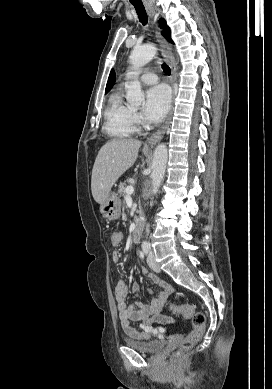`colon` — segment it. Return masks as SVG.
<instances>
[{
  "label": "colon",
  "instance_id": "5ec220e1",
  "mask_svg": "<svg viewBox=\"0 0 272 389\" xmlns=\"http://www.w3.org/2000/svg\"><path fill=\"white\" fill-rule=\"evenodd\" d=\"M110 240L114 246H119L122 241V234L118 231L110 232ZM171 310L184 318H191L193 330L185 337L178 352L173 356V361L178 362L183 355L190 352L195 344L201 339L205 331L206 318L201 312H195L189 304L171 305Z\"/></svg>",
  "mask_w": 272,
  "mask_h": 389
}]
</instances>
